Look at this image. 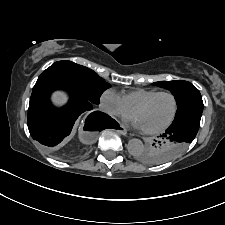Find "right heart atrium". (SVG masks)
<instances>
[{
	"instance_id": "1",
	"label": "right heart atrium",
	"mask_w": 225,
	"mask_h": 225,
	"mask_svg": "<svg viewBox=\"0 0 225 225\" xmlns=\"http://www.w3.org/2000/svg\"><path fill=\"white\" fill-rule=\"evenodd\" d=\"M103 110L114 117H128L132 111L126 106L119 93L112 89L104 91L100 97Z\"/></svg>"
}]
</instances>
